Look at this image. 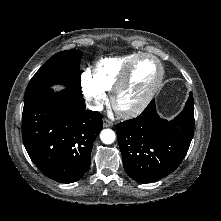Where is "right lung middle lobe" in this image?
<instances>
[{
  "label": "right lung middle lobe",
  "mask_w": 221,
  "mask_h": 221,
  "mask_svg": "<svg viewBox=\"0 0 221 221\" xmlns=\"http://www.w3.org/2000/svg\"><path fill=\"white\" fill-rule=\"evenodd\" d=\"M81 57L80 50H67L49 58L30 80L24 100L56 84H62L66 89L82 95L79 71Z\"/></svg>",
  "instance_id": "obj_1"
}]
</instances>
